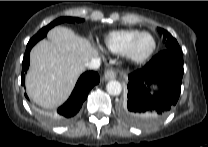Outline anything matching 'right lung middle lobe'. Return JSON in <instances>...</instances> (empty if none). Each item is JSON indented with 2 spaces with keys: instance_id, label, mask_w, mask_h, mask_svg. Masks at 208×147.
Returning a JSON list of instances; mask_svg holds the SVG:
<instances>
[{
  "instance_id": "1",
  "label": "right lung middle lobe",
  "mask_w": 208,
  "mask_h": 147,
  "mask_svg": "<svg viewBox=\"0 0 208 147\" xmlns=\"http://www.w3.org/2000/svg\"><path fill=\"white\" fill-rule=\"evenodd\" d=\"M83 19L80 18H76V17H60L56 20H54L53 22H51L49 25L43 27L35 36H45L48 32V30H50L52 27L60 24V23H64V22H82Z\"/></svg>"
}]
</instances>
